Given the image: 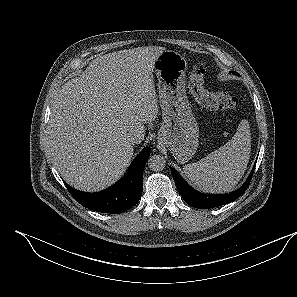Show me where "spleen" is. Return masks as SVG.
I'll return each instance as SVG.
<instances>
[{
  "label": "spleen",
  "instance_id": "spleen-1",
  "mask_svg": "<svg viewBox=\"0 0 297 297\" xmlns=\"http://www.w3.org/2000/svg\"><path fill=\"white\" fill-rule=\"evenodd\" d=\"M250 151V126L244 119L231 140L200 161L185 165L183 170L200 190L210 193L229 192L245 173Z\"/></svg>",
  "mask_w": 297,
  "mask_h": 297
}]
</instances>
